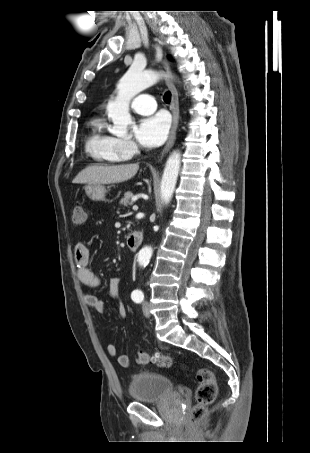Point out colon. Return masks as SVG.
<instances>
[{
  "instance_id": "colon-1",
  "label": "colon",
  "mask_w": 310,
  "mask_h": 453,
  "mask_svg": "<svg viewBox=\"0 0 310 453\" xmlns=\"http://www.w3.org/2000/svg\"><path fill=\"white\" fill-rule=\"evenodd\" d=\"M86 220V213L81 206L73 210L72 221L75 225H82ZM138 363L146 365L154 363L162 368H169L173 364L171 356L160 352L149 353L141 351L138 354ZM195 377L198 381L196 389V404L190 411L189 421L192 424L200 421L206 414L207 408L214 402L217 396V381L212 371L206 368L195 370Z\"/></svg>"
}]
</instances>
